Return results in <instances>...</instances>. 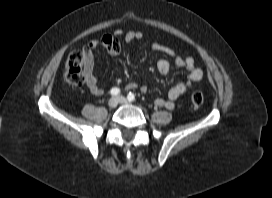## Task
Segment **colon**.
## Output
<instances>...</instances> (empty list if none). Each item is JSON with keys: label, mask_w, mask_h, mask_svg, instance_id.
I'll list each match as a JSON object with an SVG mask.
<instances>
[{"label": "colon", "mask_w": 272, "mask_h": 198, "mask_svg": "<svg viewBox=\"0 0 272 198\" xmlns=\"http://www.w3.org/2000/svg\"><path fill=\"white\" fill-rule=\"evenodd\" d=\"M65 79L72 86H82L86 81L84 55L80 50H73L69 53L65 64ZM203 94L194 92L191 101L194 106L203 104Z\"/></svg>", "instance_id": "1"}]
</instances>
